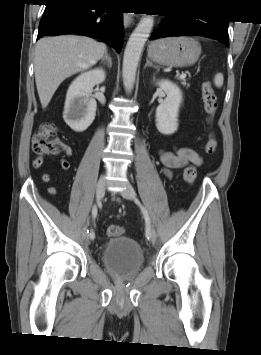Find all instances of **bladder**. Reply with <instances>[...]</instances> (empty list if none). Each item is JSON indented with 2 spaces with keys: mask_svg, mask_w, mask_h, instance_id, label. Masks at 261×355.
Returning a JSON list of instances; mask_svg holds the SVG:
<instances>
[{
  "mask_svg": "<svg viewBox=\"0 0 261 355\" xmlns=\"http://www.w3.org/2000/svg\"><path fill=\"white\" fill-rule=\"evenodd\" d=\"M101 259L110 273L123 280L134 279L144 262L140 245L123 236L113 237L104 244Z\"/></svg>",
  "mask_w": 261,
  "mask_h": 355,
  "instance_id": "obj_1",
  "label": "bladder"
}]
</instances>
